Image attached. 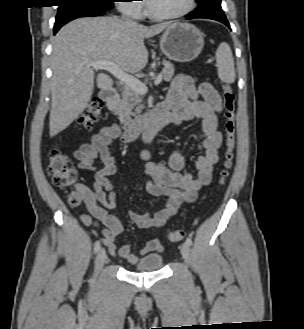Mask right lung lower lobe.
<instances>
[{"instance_id":"98d812e1","label":"right lung lower lobe","mask_w":304,"mask_h":329,"mask_svg":"<svg viewBox=\"0 0 304 329\" xmlns=\"http://www.w3.org/2000/svg\"><path fill=\"white\" fill-rule=\"evenodd\" d=\"M106 11L104 10H96V9H84V10H78L71 12L69 14H66L58 19H56L55 25H54V34L66 23L69 21L80 18V17H89V16H101L105 14Z\"/></svg>"}]
</instances>
